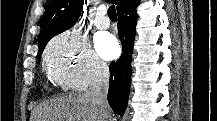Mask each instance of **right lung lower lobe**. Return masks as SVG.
I'll list each match as a JSON object with an SVG mask.
<instances>
[{"label":"right lung lower lobe","instance_id":"1","mask_svg":"<svg viewBox=\"0 0 217 121\" xmlns=\"http://www.w3.org/2000/svg\"><path fill=\"white\" fill-rule=\"evenodd\" d=\"M139 0H124L117 10L119 22L118 33L123 46V53L117 62L110 64V84L108 102L113 111L123 116L130 90L131 54L137 21L136 8Z\"/></svg>","mask_w":217,"mask_h":121}]
</instances>
